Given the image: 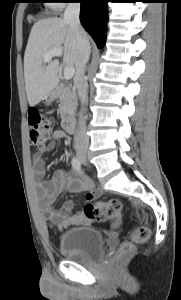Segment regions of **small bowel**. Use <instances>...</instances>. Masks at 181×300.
<instances>
[{"instance_id":"c3829d8e","label":"small bowel","mask_w":181,"mask_h":300,"mask_svg":"<svg viewBox=\"0 0 181 300\" xmlns=\"http://www.w3.org/2000/svg\"><path fill=\"white\" fill-rule=\"evenodd\" d=\"M64 137L65 134L63 131H54L52 141L44 152L52 151L55 148L56 141ZM33 174L37 192L49 222L55 224L60 229L84 226L92 223V220H89L82 212L73 213L74 204L72 201H65L58 209L55 208L54 204L65 190L71 193L88 191L86 200L90 202L100 195L99 189L92 187L85 178L65 169H57L52 173L50 179H45L46 169L43 152H39L34 156Z\"/></svg>"}]
</instances>
